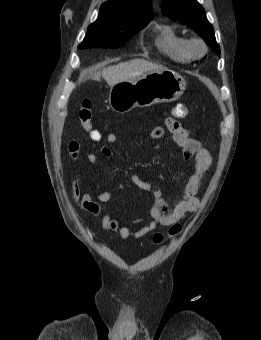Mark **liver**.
Returning <instances> with one entry per match:
<instances>
[{
  "mask_svg": "<svg viewBox=\"0 0 261 340\" xmlns=\"http://www.w3.org/2000/svg\"><path fill=\"white\" fill-rule=\"evenodd\" d=\"M162 70H165V68L161 65L151 63L144 59H133L104 68L101 75L108 85L112 87L119 82L136 78L143 73ZM94 78L97 79L98 74H95Z\"/></svg>",
  "mask_w": 261,
  "mask_h": 340,
  "instance_id": "6515ba94",
  "label": "liver"
}]
</instances>
